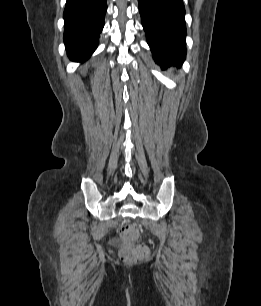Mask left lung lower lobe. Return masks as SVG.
Instances as JSON below:
<instances>
[{
    "mask_svg": "<svg viewBox=\"0 0 261 306\" xmlns=\"http://www.w3.org/2000/svg\"><path fill=\"white\" fill-rule=\"evenodd\" d=\"M142 25L154 60L162 67L186 57L183 0H138Z\"/></svg>",
    "mask_w": 261,
    "mask_h": 306,
    "instance_id": "1",
    "label": "left lung lower lobe"
}]
</instances>
